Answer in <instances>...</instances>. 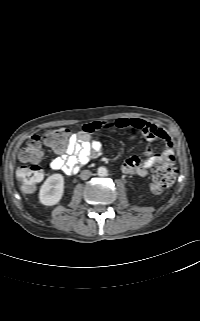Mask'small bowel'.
Returning <instances> with one entry per match:
<instances>
[{"instance_id":"1","label":"small bowel","mask_w":200,"mask_h":321,"mask_svg":"<svg viewBox=\"0 0 200 321\" xmlns=\"http://www.w3.org/2000/svg\"><path fill=\"white\" fill-rule=\"evenodd\" d=\"M101 129L127 130L131 137L141 133L150 141L159 140L166 146L164 153L156 155L151 147L144 152V158L131 156L124 162L122 170L127 174L145 176L147 171L155 166L162 157L168 153L173 154L172 141L168 133L159 126L139 118H118L115 120L93 121L85 123L81 131L71 135L66 146L61 150H55L58 154L51 163V169L61 171L67 175L74 174L81 165L102 154L101 142L92 137L95 131Z\"/></svg>"}]
</instances>
